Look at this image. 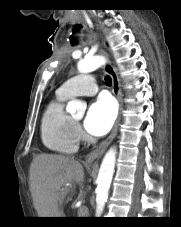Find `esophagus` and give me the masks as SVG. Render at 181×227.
Instances as JSON below:
<instances>
[{"instance_id":"obj_1","label":"esophagus","mask_w":181,"mask_h":227,"mask_svg":"<svg viewBox=\"0 0 181 227\" xmlns=\"http://www.w3.org/2000/svg\"><path fill=\"white\" fill-rule=\"evenodd\" d=\"M104 70L112 78V91L119 102V115H118L115 125H114L110 135L107 137V139L104 140L96 149L91 151L86 156L85 160L88 163L98 160L103 155V153L105 152V150L107 149L109 144L112 142V140L114 139V137L117 133V130H118V125H119L120 119H121V112L123 110L121 86H120V81H119L118 75L116 73V70L114 69V67L111 65V63L109 61H107L105 63Z\"/></svg>"}]
</instances>
